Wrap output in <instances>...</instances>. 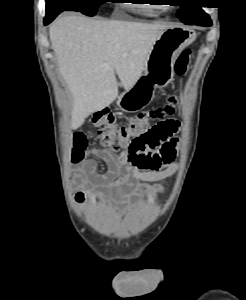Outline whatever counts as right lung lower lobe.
<instances>
[{
	"mask_svg": "<svg viewBox=\"0 0 246 300\" xmlns=\"http://www.w3.org/2000/svg\"><path fill=\"white\" fill-rule=\"evenodd\" d=\"M57 15H58V14H55V15H52V16H47V17H45V19H44V24L47 25V24H49L50 22H52V21L56 18Z\"/></svg>",
	"mask_w": 246,
	"mask_h": 300,
	"instance_id": "98d812e1",
	"label": "right lung lower lobe"
}]
</instances>
